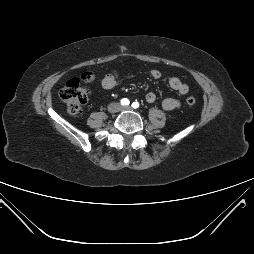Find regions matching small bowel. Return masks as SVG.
<instances>
[{
  "mask_svg": "<svg viewBox=\"0 0 254 254\" xmlns=\"http://www.w3.org/2000/svg\"><path fill=\"white\" fill-rule=\"evenodd\" d=\"M148 74L153 79H159L161 77V73L157 69H151ZM120 76H121V73L117 70H114L108 73L102 79V82H101L102 87L105 90H110L114 88L117 85L120 79ZM168 83H169V86L180 95L186 94L189 90L188 86L177 77H171ZM145 100L148 103H154L156 101V95L153 92H149L146 94ZM180 105L181 103L179 99H177L175 96H172V95L165 97L161 102L162 108L168 111L178 109Z\"/></svg>",
  "mask_w": 254,
  "mask_h": 254,
  "instance_id": "1",
  "label": "small bowel"
}]
</instances>
